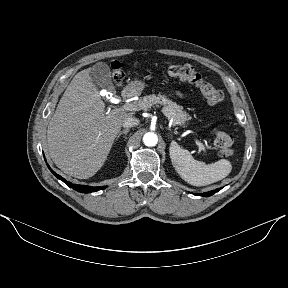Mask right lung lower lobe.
<instances>
[{
  "mask_svg": "<svg viewBox=\"0 0 288 288\" xmlns=\"http://www.w3.org/2000/svg\"><path fill=\"white\" fill-rule=\"evenodd\" d=\"M49 167V166H48ZM51 170V168L49 167ZM51 172L60 180H62L64 183L67 184V186L73 188L74 190H77L78 192L81 193H91V192H96L99 190H103L106 188V186L103 187H92V186H87V185H77V184H72L71 182H67L64 178H62L60 175L56 174L53 170Z\"/></svg>",
  "mask_w": 288,
  "mask_h": 288,
  "instance_id": "right-lung-lower-lobe-1",
  "label": "right lung lower lobe"
}]
</instances>
